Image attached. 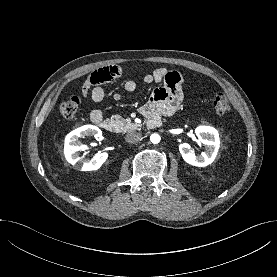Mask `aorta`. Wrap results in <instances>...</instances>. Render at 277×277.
<instances>
[{
	"mask_svg": "<svg viewBox=\"0 0 277 277\" xmlns=\"http://www.w3.org/2000/svg\"><path fill=\"white\" fill-rule=\"evenodd\" d=\"M160 140H161V138H160V135H159V134L154 133V134H152V135L150 136V141H151L153 144L159 143Z\"/></svg>",
	"mask_w": 277,
	"mask_h": 277,
	"instance_id": "aorta-1",
	"label": "aorta"
}]
</instances>
